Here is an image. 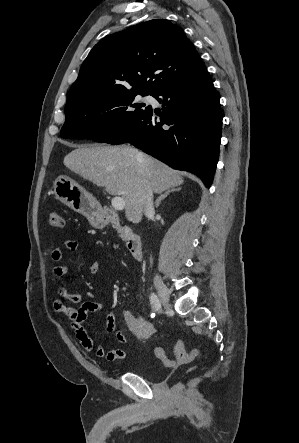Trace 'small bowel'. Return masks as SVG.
<instances>
[{"instance_id":"obj_1","label":"small bowel","mask_w":299,"mask_h":443,"mask_svg":"<svg viewBox=\"0 0 299 443\" xmlns=\"http://www.w3.org/2000/svg\"><path fill=\"white\" fill-rule=\"evenodd\" d=\"M79 244L76 241L68 240L60 247L52 250L51 258L53 261H60L65 252H76ZM89 271L96 274L99 271L98 262L94 261L89 265ZM70 273L67 265H56L53 268V275L61 278ZM56 299L53 302V308L56 312L64 313L70 322L71 328L75 331L76 337L81 346L88 352H93L97 357L105 358L110 362L122 360L126 357V352L122 349L107 350L101 345H96L84 328V322L90 313L105 312L106 331L113 335L115 339L124 344L127 342L123 332L118 328L116 318L113 312L106 309L102 304L86 301L82 302V295L79 292H70L63 284L55 286ZM81 305L77 307V304Z\"/></svg>"}]
</instances>
